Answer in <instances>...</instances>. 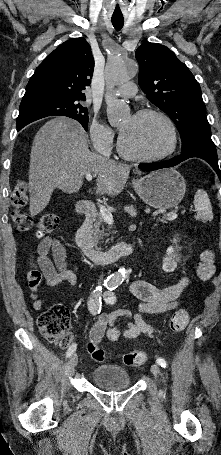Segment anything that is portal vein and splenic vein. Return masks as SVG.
Wrapping results in <instances>:
<instances>
[{"instance_id":"obj_1","label":"portal vein and splenic vein","mask_w":221,"mask_h":455,"mask_svg":"<svg viewBox=\"0 0 221 455\" xmlns=\"http://www.w3.org/2000/svg\"><path fill=\"white\" fill-rule=\"evenodd\" d=\"M85 178H86L87 181H91L93 179V175L92 174H86ZM99 210H100V215L102 216L103 220L106 223H108L110 225H113L114 220H113V216H112L111 212L103 205L99 206ZM177 216H178L177 212H173L171 214H168L166 217H164L163 220H165V221H174L177 218Z\"/></svg>"}]
</instances>
